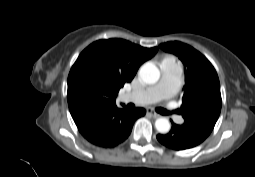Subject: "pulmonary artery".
Masks as SVG:
<instances>
[{
	"instance_id": "obj_1",
	"label": "pulmonary artery",
	"mask_w": 255,
	"mask_h": 177,
	"mask_svg": "<svg viewBox=\"0 0 255 177\" xmlns=\"http://www.w3.org/2000/svg\"><path fill=\"white\" fill-rule=\"evenodd\" d=\"M180 83V68H163L161 79L156 85L127 93L122 99L125 102H133L136 104H152L172 97L178 91ZM172 118L177 123L182 122V118L177 114L173 115Z\"/></svg>"
}]
</instances>
